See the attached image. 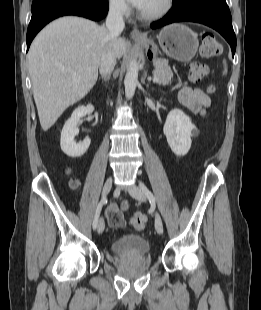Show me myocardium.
<instances>
[{
    "label": "myocardium",
    "instance_id": "obj_1",
    "mask_svg": "<svg viewBox=\"0 0 261 310\" xmlns=\"http://www.w3.org/2000/svg\"><path fill=\"white\" fill-rule=\"evenodd\" d=\"M173 4H174V0H164L162 6L158 10L151 12V13H144L140 11L138 15L140 19L145 20V21L157 20V19L164 17L166 14H168L169 11L172 9Z\"/></svg>",
    "mask_w": 261,
    "mask_h": 310
}]
</instances>
